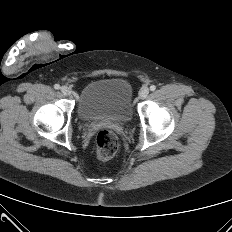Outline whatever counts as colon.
<instances>
[{
    "label": "colon",
    "mask_w": 232,
    "mask_h": 232,
    "mask_svg": "<svg viewBox=\"0 0 232 232\" xmlns=\"http://www.w3.org/2000/svg\"><path fill=\"white\" fill-rule=\"evenodd\" d=\"M118 150V138L112 130H100L96 136V154L100 160L112 158Z\"/></svg>",
    "instance_id": "1"
}]
</instances>
